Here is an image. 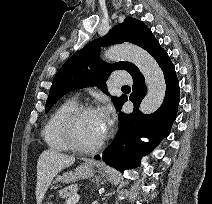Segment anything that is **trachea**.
<instances>
[{
  "mask_svg": "<svg viewBox=\"0 0 212 204\" xmlns=\"http://www.w3.org/2000/svg\"><path fill=\"white\" fill-rule=\"evenodd\" d=\"M122 89H130L129 86H123Z\"/></svg>",
  "mask_w": 212,
  "mask_h": 204,
  "instance_id": "trachea-1",
  "label": "trachea"
}]
</instances>
